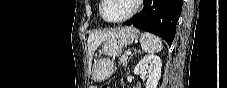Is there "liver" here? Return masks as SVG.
Listing matches in <instances>:
<instances>
[{"label": "liver", "mask_w": 227, "mask_h": 88, "mask_svg": "<svg viewBox=\"0 0 227 88\" xmlns=\"http://www.w3.org/2000/svg\"><path fill=\"white\" fill-rule=\"evenodd\" d=\"M112 31H95L92 32L88 37V54L89 59L92 60L94 52L99 47V45L105 41L110 35Z\"/></svg>", "instance_id": "liver-1"}]
</instances>
